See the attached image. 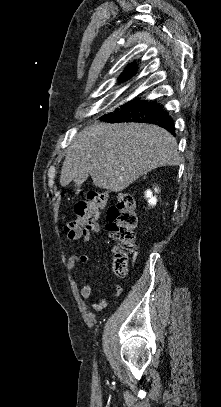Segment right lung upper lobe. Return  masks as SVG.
Segmentation results:
<instances>
[{"instance_id":"obj_1","label":"right lung upper lobe","mask_w":221,"mask_h":407,"mask_svg":"<svg viewBox=\"0 0 221 407\" xmlns=\"http://www.w3.org/2000/svg\"><path fill=\"white\" fill-rule=\"evenodd\" d=\"M135 74V70H134V63H131L127 66V68L125 69L123 75H121L119 77L120 81H125L129 78H131L133 75Z\"/></svg>"}]
</instances>
